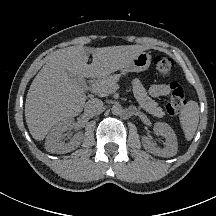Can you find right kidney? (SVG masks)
<instances>
[{"mask_svg": "<svg viewBox=\"0 0 216 216\" xmlns=\"http://www.w3.org/2000/svg\"><path fill=\"white\" fill-rule=\"evenodd\" d=\"M74 127L72 118H65L58 122L50 131L45 142V148L51 153H68L78 148L83 140V133L79 132L73 136L68 142L64 143L61 140L64 137V132Z\"/></svg>", "mask_w": 216, "mask_h": 216, "instance_id": "obj_1", "label": "right kidney"}]
</instances>
